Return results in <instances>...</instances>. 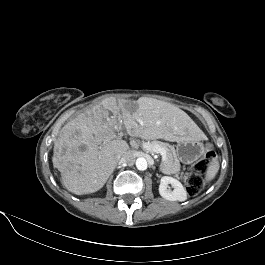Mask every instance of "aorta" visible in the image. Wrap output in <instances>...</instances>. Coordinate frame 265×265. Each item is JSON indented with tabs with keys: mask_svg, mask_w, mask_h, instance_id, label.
Segmentation results:
<instances>
[{
	"mask_svg": "<svg viewBox=\"0 0 265 265\" xmlns=\"http://www.w3.org/2000/svg\"><path fill=\"white\" fill-rule=\"evenodd\" d=\"M135 164H136L137 169L140 171H144L148 167L147 160L144 157H138L136 159Z\"/></svg>",
	"mask_w": 265,
	"mask_h": 265,
	"instance_id": "1",
	"label": "aorta"
}]
</instances>
